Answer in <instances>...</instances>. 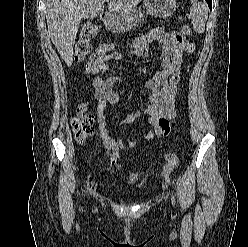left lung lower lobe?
I'll return each instance as SVG.
<instances>
[{"label": "left lung lower lobe", "instance_id": "obj_1", "mask_svg": "<svg viewBox=\"0 0 248 247\" xmlns=\"http://www.w3.org/2000/svg\"><path fill=\"white\" fill-rule=\"evenodd\" d=\"M206 2L208 3L209 8L211 9L212 0H206Z\"/></svg>", "mask_w": 248, "mask_h": 247}]
</instances>
